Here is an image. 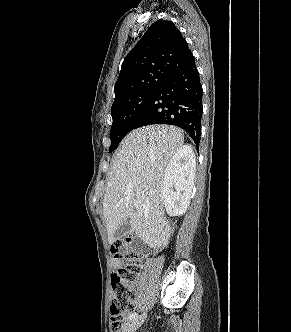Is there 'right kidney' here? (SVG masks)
Listing matches in <instances>:
<instances>
[{"label": "right kidney", "mask_w": 291, "mask_h": 332, "mask_svg": "<svg viewBox=\"0 0 291 332\" xmlns=\"http://www.w3.org/2000/svg\"><path fill=\"white\" fill-rule=\"evenodd\" d=\"M196 172V159L189 145L179 147L172 156L163 180L162 200L169 216L186 212Z\"/></svg>", "instance_id": "ca27d5eb"}]
</instances>
